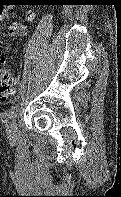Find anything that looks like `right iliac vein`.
<instances>
[{"label":"right iliac vein","mask_w":121,"mask_h":197,"mask_svg":"<svg viewBox=\"0 0 121 197\" xmlns=\"http://www.w3.org/2000/svg\"><path fill=\"white\" fill-rule=\"evenodd\" d=\"M17 138V120L13 119L9 125L8 139L11 144H15Z\"/></svg>","instance_id":"obj_1"}]
</instances>
